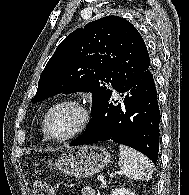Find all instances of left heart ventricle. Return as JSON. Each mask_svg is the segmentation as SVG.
Here are the masks:
<instances>
[{"label":"left heart ventricle","instance_id":"left-heart-ventricle-1","mask_svg":"<svg viewBox=\"0 0 189 195\" xmlns=\"http://www.w3.org/2000/svg\"><path fill=\"white\" fill-rule=\"evenodd\" d=\"M81 118V111L77 107L63 105L50 115L48 121L49 131L54 137H64L78 127Z\"/></svg>","mask_w":189,"mask_h":195}]
</instances>
